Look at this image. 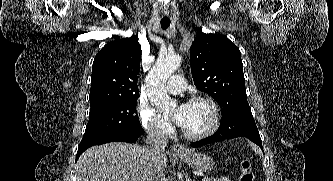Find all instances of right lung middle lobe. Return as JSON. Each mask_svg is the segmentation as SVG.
Instances as JSON below:
<instances>
[{
	"mask_svg": "<svg viewBox=\"0 0 333 181\" xmlns=\"http://www.w3.org/2000/svg\"><path fill=\"white\" fill-rule=\"evenodd\" d=\"M137 98L120 100L96 107H91L89 122L80 142L142 135V129L136 115Z\"/></svg>",
	"mask_w": 333,
	"mask_h": 181,
	"instance_id": "obj_1",
	"label": "right lung middle lobe"
}]
</instances>
